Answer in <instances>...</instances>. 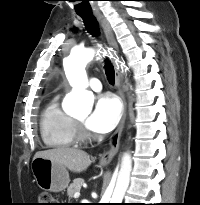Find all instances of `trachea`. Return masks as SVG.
<instances>
[{
  "label": "trachea",
  "mask_w": 200,
  "mask_h": 205,
  "mask_svg": "<svg viewBox=\"0 0 200 205\" xmlns=\"http://www.w3.org/2000/svg\"><path fill=\"white\" fill-rule=\"evenodd\" d=\"M78 15L83 19L87 31L92 35L97 36L99 31V25L94 15L92 13H83ZM105 73L107 76V80L111 84H114L115 72L114 68L109 63H106L105 65Z\"/></svg>",
  "instance_id": "obj_1"
}]
</instances>
